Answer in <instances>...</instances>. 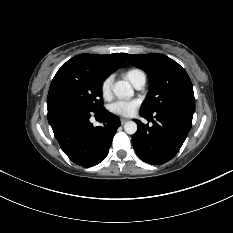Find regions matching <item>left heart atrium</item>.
<instances>
[{"label": "left heart atrium", "mask_w": 233, "mask_h": 233, "mask_svg": "<svg viewBox=\"0 0 233 233\" xmlns=\"http://www.w3.org/2000/svg\"><path fill=\"white\" fill-rule=\"evenodd\" d=\"M139 106L140 101L138 99L118 100L110 104L109 111L116 115L129 117L136 112Z\"/></svg>", "instance_id": "left-heart-atrium-1"}]
</instances>
